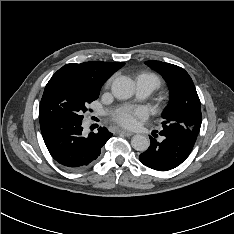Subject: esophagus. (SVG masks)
<instances>
[{"mask_svg":"<svg viewBox=\"0 0 234 234\" xmlns=\"http://www.w3.org/2000/svg\"><path fill=\"white\" fill-rule=\"evenodd\" d=\"M118 133H119V134H122V135H124V136H127V137H129V136H132V135H133V133H132V132H130V131H126V130H118Z\"/></svg>","mask_w":234,"mask_h":234,"instance_id":"esophagus-1","label":"esophagus"}]
</instances>
